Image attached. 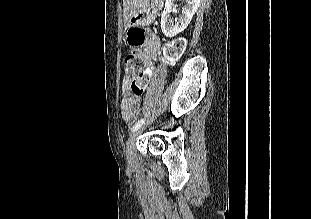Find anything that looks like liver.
Wrapping results in <instances>:
<instances>
[{
	"mask_svg": "<svg viewBox=\"0 0 311 219\" xmlns=\"http://www.w3.org/2000/svg\"><path fill=\"white\" fill-rule=\"evenodd\" d=\"M123 6H124V19L125 21H128L133 11L138 6V0H123Z\"/></svg>",
	"mask_w": 311,
	"mask_h": 219,
	"instance_id": "1",
	"label": "liver"
}]
</instances>
